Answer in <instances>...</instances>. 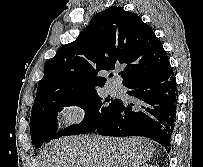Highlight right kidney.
Listing matches in <instances>:
<instances>
[{
    "label": "right kidney",
    "instance_id": "right-kidney-1",
    "mask_svg": "<svg viewBox=\"0 0 203 167\" xmlns=\"http://www.w3.org/2000/svg\"><path fill=\"white\" fill-rule=\"evenodd\" d=\"M142 167H156V166L146 164V165H143Z\"/></svg>",
    "mask_w": 203,
    "mask_h": 167
}]
</instances>
